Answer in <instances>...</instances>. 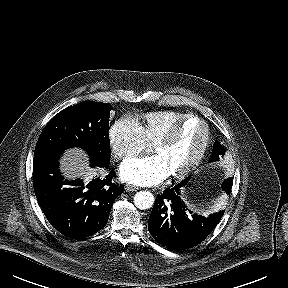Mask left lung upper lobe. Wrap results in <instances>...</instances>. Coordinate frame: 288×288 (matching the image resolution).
Returning a JSON list of instances; mask_svg holds the SVG:
<instances>
[{
  "mask_svg": "<svg viewBox=\"0 0 288 288\" xmlns=\"http://www.w3.org/2000/svg\"><path fill=\"white\" fill-rule=\"evenodd\" d=\"M224 152H225L224 147L219 142L216 141L213 146V154L212 157L210 158V162L219 160L220 156L223 155ZM188 179L189 177H187L184 180L187 181ZM232 184H233V178L226 179L223 183V189L231 191Z\"/></svg>",
  "mask_w": 288,
  "mask_h": 288,
  "instance_id": "left-lung-upper-lobe-1",
  "label": "left lung upper lobe"
}]
</instances>
